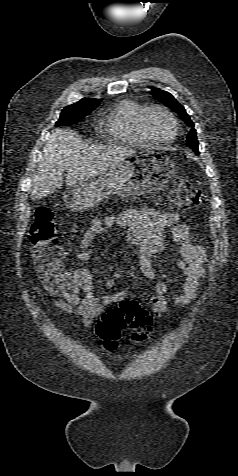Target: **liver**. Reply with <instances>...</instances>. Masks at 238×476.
<instances>
[{"mask_svg": "<svg viewBox=\"0 0 238 476\" xmlns=\"http://www.w3.org/2000/svg\"><path fill=\"white\" fill-rule=\"evenodd\" d=\"M135 151L121 146H95L82 141L71 130L55 129L51 132L36 173L33 177L32 200L41 199L63 185H75L115 167Z\"/></svg>", "mask_w": 238, "mask_h": 476, "instance_id": "liver-1", "label": "liver"}]
</instances>
